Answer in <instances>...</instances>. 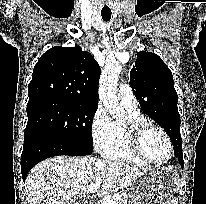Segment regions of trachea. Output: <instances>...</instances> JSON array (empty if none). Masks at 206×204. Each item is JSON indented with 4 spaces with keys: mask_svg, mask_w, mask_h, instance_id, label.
<instances>
[{
    "mask_svg": "<svg viewBox=\"0 0 206 204\" xmlns=\"http://www.w3.org/2000/svg\"><path fill=\"white\" fill-rule=\"evenodd\" d=\"M101 16L104 21H109L111 19V13H101Z\"/></svg>",
    "mask_w": 206,
    "mask_h": 204,
    "instance_id": "obj_1",
    "label": "trachea"
}]
</instances>
